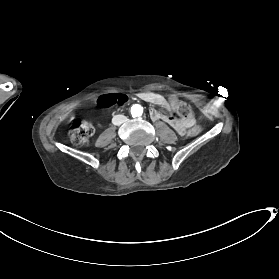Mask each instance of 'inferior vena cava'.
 Instances as JSON below:
<instances>
[{
    "instance_id": "inferior-vena-cava-1",
    "label": "inferior vena cava",
    "mask_w": 279,
    "mask_h": 279,
    "mask_svg": "<svg viewBox=\"0 0 279 279\" xmlns=\"http://www.w3.org/2000/svg\"><path fill=\"white\" fill-rule=\"evenodd\" d=\"M127 117L123 116V115H116L113 117L112 119V123L114 125H121L122 123H126Z\"/></svg>"
}]
</instances>
